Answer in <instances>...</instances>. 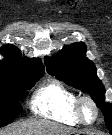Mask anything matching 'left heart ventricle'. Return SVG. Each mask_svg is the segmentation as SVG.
<instances>
[{
	"label": "left heart ventricle",
	"mask_w": 112,
	"mask_h": 135,
	"mask_svg": "<svg viewBox=\"0 0 112 135\" xmlns=\"http://www.w3.org/2000/svg\"><path fill=\"white\" fill-rule=\"evenodd\" d=\"M83 113H84V116L87 120H92L94 118V110L93 108L86 104L83 108Z\"/></svg>",
	"instance_id": "left-heart-ventricle-1"
}]
</instances>
